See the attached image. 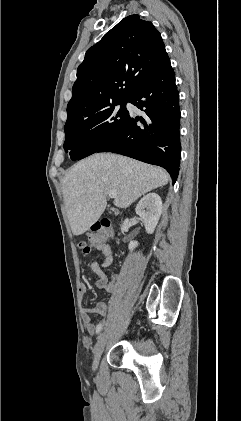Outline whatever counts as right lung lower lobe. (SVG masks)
I'll list each match as a JSON object with an SVG mask.
<instances>
[{
    "label": "right lung lower lobe",
    "instance_id": "right-lung-lower-lobe-1",
    "mask_svg": "<svg viewBox=\"0 0 241 421\" xmlns=\"http://www.w3.org/2000/svg\"><path fill=\"white\" fill-rule=\"evenodd\" d=\"M146 113L129 116L123 129L97 152H114L165 168L173 182L180 165V107L174 71L167 56L128 99ZM143 127L137 126V121Z\"/></svg>",
    "mask_w": 241,
    "mask_h": 421
}]
</instances>
